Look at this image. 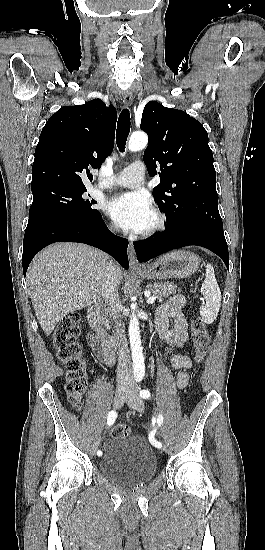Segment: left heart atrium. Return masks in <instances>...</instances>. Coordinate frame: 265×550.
Here are the masks:
<instances>
[{
	"label": "left heart atrium",
	"instance_id": "left-heart-atrium-1",
	"mask_svg": "<svg viewBox=\"0 0 265 550\" xmlns=\"http://www.w3.org/2000/svg\"><path fill=\"white\" fill-rule=\"evenodd\" d=\"M108 212L118 226L135 233L145 230L152 215L148 198L140 192L114 198L108 204Z\"/></svg>",
	"mask_w": 265,
	"mask_h": 550
}]
</instances>
